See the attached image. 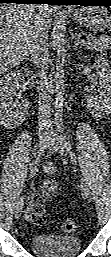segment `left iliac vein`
<instances>
[{"label": "left iliac vein", "instance_id": "obj_1", "mask_svg": "<svg viewBox=\"0 0 111 257\" xmlns=\"http://www.w3.org/2000/svg\"><path fill=\"white\" fill-rule=\"evenodd\" d=\"M49 147L55 151H59L61 154H66L68 151L64 145L62 137L58 136L57 134H54V133L50 134ZM81 188H82V192H83L84 196L86 197V199L88 201H91L90 190L84 181H82V183H81Z\"/></svg>", "mask_w": 111, "mask_h": 257}]
</instances>
